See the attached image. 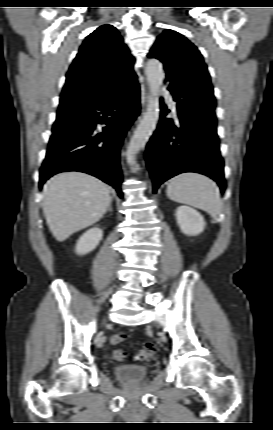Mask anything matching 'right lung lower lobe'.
<instances>
[{"mask_svg":"<svg viewBox=\"0 0 273 430\" xmlns=\"http://www.w3.org/2000/svg\"><path fill=\"white\" fill-rule=\"evenodd\" d=\"M86 109L88 114L80 126L52 134L40 169L39 187L56 173L80 171L112 185L122 198L120 148L140 112L139 85L118 90ZM98 123L108 126L100 132Z\"/></svg>","mask_w":273,"mask_h":430,"instance_id":"98d812e1","label":"right lung lower lobe"}]
</instances>
